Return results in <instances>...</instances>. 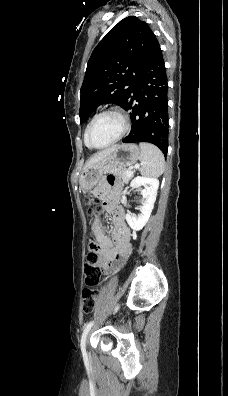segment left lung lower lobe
Instances as JSON below:
<instances>
[{"instance_id": "1", "label": "left lung lower lobe", "mask_w": 228, "mask_h": 396, "mask_svg": "<svg viewBox=\"0 0 228 396\" xmlns=\"http://www.w3.org/2000/svg\"><path fill=\"white\" fill-rule=\"evenodd\" d=\"M168 84L164 59L156 39L123 107L130 110L132 127L124 143L149 142L167 155Z\"/></svg>"}]
</instances>
